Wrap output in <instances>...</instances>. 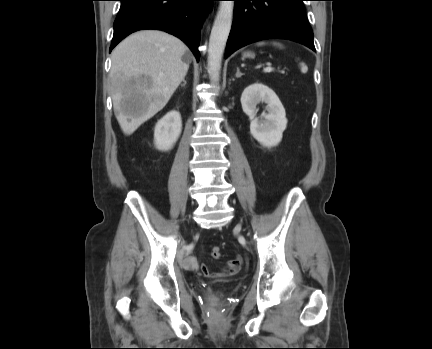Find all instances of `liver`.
Wrapping results in <instances>:
<instances>
[{"label":"liver","mask_w":432,"mask_h":349,"mask_svg":"<svg viewBox=\"0 0 432 349\" xmlns=\"http://www.w3.org/2000/svg\"><path fill=\"white\" fill-rule=\"evenodd\" d=\"M187 46L158 30L135 32L112 51L110 80L115 116L126 135L162 110L184 80L189 63ZM135 102L131 113L121 103Z\"/></svg>","instance_id":"6515ba94"}]
</instances>
